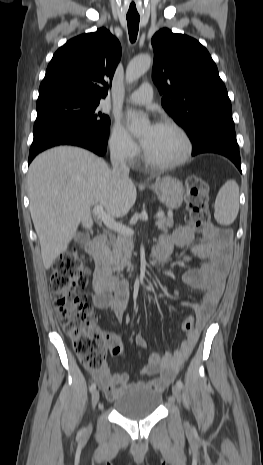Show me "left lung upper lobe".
I'll list each match as a JSON object with an SVG mask.
<instances>
[{
  "label": "left lung upper lobe",
  "mask_w": 263,
  "mask_h": 465,
  "mask_svg": "<svg viewBox=\"0 0 263 465\" xmlns=\"http://www.w3.org/2000/svg\"><path fill=\"white\" fill-rule=\"evenodd\" d=\"M152 78L161 103L192 143L217 125H234L226 87L209 52L197 40L163 28L152 38Z\"/></svg>",
  "instance_id": "1"
}]
</instances>
